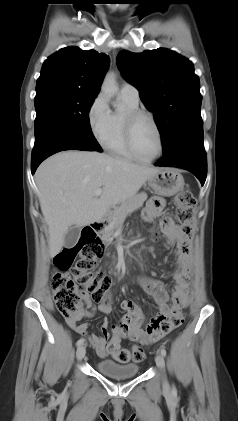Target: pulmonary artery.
<instances>
[{"mask_svg":"<svg viewBox=\"0 0 238 421\" xmlns=\"http://www.w3.org/2000/svg\"><path fill=\"white\" fill-rule=\"evenodd\" d=\"M120 95L121 97L133 102L138 103L139 102V92L133 85L129 83H124L121 85L120 88Z\"/></svg>","mask_w":238,"mask_h":421,"instance_id":"obj_1","label":"pulmonary artery"}]
</instances>
